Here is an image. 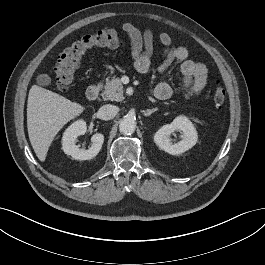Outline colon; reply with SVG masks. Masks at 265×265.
<instances>
[{
  "mask_svg": "<svg viewBox=\"0 0 265 265\" xmlns=\"http://www.w3.org/2000/svg\"><path fill=\"white\" fill-rule=\"evenodd\" d=\"M122 44L120 35L113 30H99L87 34L65 48L59 55L54 66V79L56 86L61 91L69 89L75 74L79 69L84 54L92 48H115ZM226 91L220 82H216L213 88V101L216 106L224 104Z\"/></svg>",
  "mask_w": 265,
  "mask_h": 265,
  "instance_id": "1",
  "label": "colon"
}]
</instances>
